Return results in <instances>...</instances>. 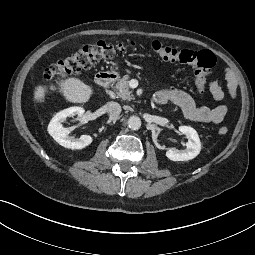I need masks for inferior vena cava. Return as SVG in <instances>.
I'll return each mask as SVG.
<instances>
[{"label": "inferior vena cava", "mask_w": 255, "mask_h": 255, "mask_svg": "<svg viewBox=\"0 0 255 255\" xmlns=\"http://www.w3.org/2000/svg\"><path fill=\"white\" fill-rule=\"evenodd\" d=\"M121 110V106L117 102L111 101L106 104V111L113 118H117L121 113Z\"/></svg>", "instance_id": "obj_1"}]
</instances>
